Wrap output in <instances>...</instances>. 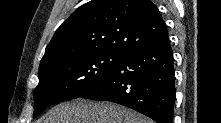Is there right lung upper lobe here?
I'll list each match as a JSON object with an SVG mask.
<instances>
[{"label":"right lung upper lobe","mask_w":221,"mask_h":123,"mask_svg":"<svg viewBox=\"0 0 221 123\" xmlns=\"http://www.w3.org/2000/svg\"><path fill=\"white\" fill-rule=\"evenodd\" d=\"M168 40L166 24L150 0H92L60 25L40 65L83 51L127 54Z\"/></svg>","instance_id":"right-lung-upper-lobe-1"}]
</instances>
